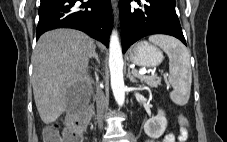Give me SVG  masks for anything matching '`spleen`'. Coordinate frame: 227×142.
Here are the masks:
<instances>
[{
  "mask_svg": "<svg viewBox=\"0 0 227 142\" xmlns=\"http://www.w3.org/2000/svg\"><path fill=\"white\" fill-rule=\"evenodd\" d=\"M149 41L162 48L169 57V83L173 87L170 98L178 105L187 104L192 83L189 51L171 36L152 35Z\"/></svg>",
  "mask_w": 227,
  "mask_h": 142,
  "instance_id": "3e777b00",
  "label": "spleen"
}]
</instances>
